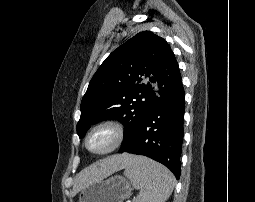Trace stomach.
Instances as JSON below:
<instances>
[{
	"label": "stomach",
	"instance_id": "0dacf381",
	"mask_svg": "<svg viewBox=\"0 0 255 202\" xmlns=\"http://www.w3.org/2000/svg\"><path fill=\"white\" fill-rule=\"evenodd\" d=\"M131 193V182L116 175L82 188L78 202H123L131 196Z\"/></svg>",
	"mask_w": 255,
	"mask_h": 202
}]
</instances>
